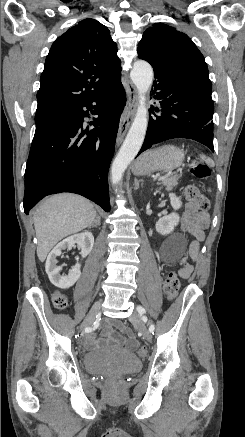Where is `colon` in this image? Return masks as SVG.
Returning <instances> with one entry per match:
<instances>
[{
  "label": "colon",
  "instance_id": "1",
  "mask_svg": "<svg viewBox=\"0 0 245 437\" xmlns=\"http://www.w3.org/2000/svg\"><path fill=\"white\" fill-rule=\"evenodd\" d=\"M191 172L194 176L200 179H205L210 176V168L204 162L199 159H193L191 162ZM185 195L187 199L192 202L200 211H207L210 208L209 199L200 193L198 187L194 184H189L185 187ZM164 292L169 300L174 299L180 289V281L176 273L170 272L163 283ZM52 301L57 309H64L67 307V298L65 295L55 292L52 296ZM137 353L140 356L147 354V349L141 346L137 349ZM118 380L115 379L114 382Z\"/></svg>",
  "mask_w": 245,
  "mask_h": 437
}]
</instances>
